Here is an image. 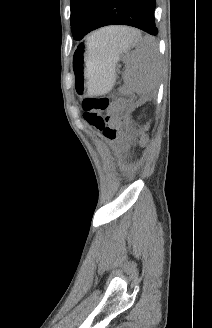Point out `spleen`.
<instances>
[{
  "label": "spleen",
  "mask_w": 212,
  "mask_h": 328,
  "mask_svg": "<svg viewBox=\"0 0 212 328\" xmlns=\"http://www.w3.org/2000/svg\"><path fill=\"white\" fill-rule=\"evenodd\" d=\"M106 29L99 30L88 37L87 45L97 52L106 51L114 55L117 50L108 46ZM136 44V50L126 58L128 69L124 74V82L132 91L150 95L160 80L158 50L152 37H142L140 33L136 37Z\"/></svg>",
  "instance_id": "3e777b00"
}]
</instances>
